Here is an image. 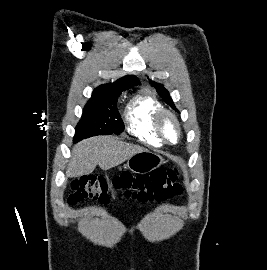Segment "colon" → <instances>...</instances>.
Masks as SVG:
<instances>
[{"label":"colon","mask_w":267,"mask_h":270,"mask_svg":"<svg viewBox=\"0 0 267 270\" xmlns=\"http://www.w3.org/2000/svg\"><path fill=\"white\" fill-rule=\"evenodd\" d=\"M178 176L177 167L137 175L124 172L112 178L83 176L72 183L67 201L71 205L82 203L87 199L109 203L115 196H125L143 203L161 202L183 192Z\"/></svg>","instance_id":"colon-1"}]
</instances>
